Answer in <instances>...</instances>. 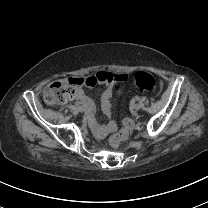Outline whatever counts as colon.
<instances>
[{
    "instance_id": "1",
    "label": "colon",
    "mask_w": 208,
    "mask_h": 208,
    "mask_svg": "<svg viewBox=\"0 0 208 208\" xmlns=\"http://www.w3.org/2000/svg\"><path fill=\"white\" fill-rule=\"evenodd\" d=\"M100 84L111 85L115 95H120L122 86L124 85L120 78L115 77L111 72L101 71L87 79H76L74 82L68 79H60L55 83L47 84L42 91L43 101L50 106H57L71 101L80 88L94 87ZM136 86L145 92L151 94H159L162 91L161 83L152 75L145 72H137L135 74ZM121 132L112 136L114 142L123 140L128 132L135 128V123L131 119H125L121 123ZM112 142V143H114Z\"/></svg>"
}]
</instances>
